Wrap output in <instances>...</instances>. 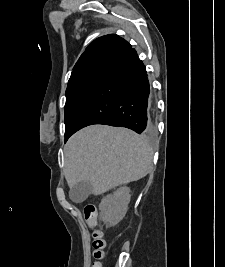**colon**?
Wrapping results in <instances>:
<instances>
[{
  "mask_svg": "<svg viewBox=\"0 0 225 267\" xmlns=\"http://www.w3.org/2000/svg\"><path fill=\"white\" fill-rule=\"evenodd\" d=\"M84 220L92 228V249L93 258L95 262L92 267H102L100 260L104 257L105 240L103 238V233L99 230L97 226V209L94 205L88 204L83 210Z\"/></svg>",
  "mask_w": 225,
  "mask_h": 267,
  "instance_id": "obj_1",
  "label": "colon"
}]
</instances>
